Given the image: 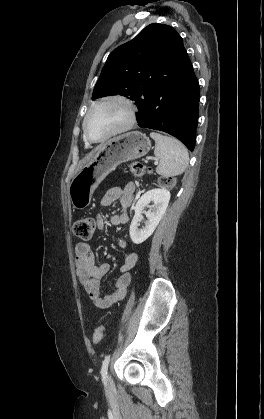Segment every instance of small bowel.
Instances as JSON below:
<instances>
[{
  "mask_svg": "<svg viewBox=\"0 0 264 419\" xmlns=\"http://www.w3.org/2000/svg\"><path fill=\"white\" fill-rule=\"evenodd\" d=\"M135 190V184L130 182L124 187H112L105 193L101 201L103 206H110L115 201H119L121 205V211L110 217L109 223L111 225L120 226L128 222L129 215L127 210L133 202ZM96 225L98 229L104 230L107 226V221L103 216L98 215ZM119 245L122 248H126L127 242L120 240ZM137 261L138 255L135 252L125 254L124 262L119 270L120 274L115 283V290L102 297L100 293L101 280L110 271V266L108 264H95L90 243L81 242L75 247L76 274L79 282L89 299L100 309H106L125 297L131 282V270L135 267Z\"/></svg>",
  "mask_w": 264,
  "mask_h": 419,
  "instance_id": "1",
  "label": "small bowel"
}]
</instances>
